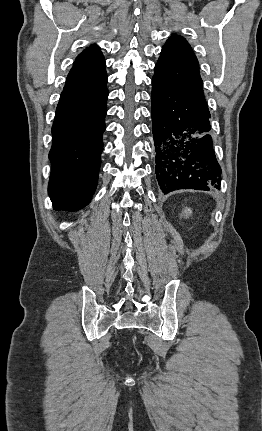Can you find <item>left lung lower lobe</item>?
I'll return each mask as SVG.
<instances>
[{
  "instance_id": "0a47b994",
  "label": "left lung lower lobe",
  "mask_w": 262,
  "mask_h": 431,
  "mask_svg": "<svg viewBox=\"0 0 262 431\" xmlns=\"http://www.w3.org/2000/svg\"><path fill=\"white\" fill-rule=\"evenodd\" d=\"M151 103L156 178L162 192L219 189L221 168L210 135V114L155 78Z\"/></svg>"
}]
</instances>
